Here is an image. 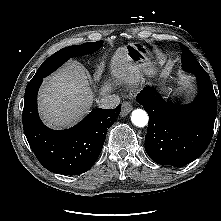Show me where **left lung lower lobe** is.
I'll return each instance as SVG.
<instances>
[{"mask_svg":"<svg viewBox=\"0 0 221 221\" xmlns=\"http://www.w3.org/2000/svg\"><path fill=\"white\" fill-rule=\"evenodd\" d=\"M195 75L199 93L189 105L165 101L149 86L136 97L149 115L145 150L160 165L184 166L197 159L211 141L217 100L207 72Z\"/></svg>","mask_w":221,"mask_h":221,"instance_id":"1","label":"left lung lower lobe"}]
</instances>
